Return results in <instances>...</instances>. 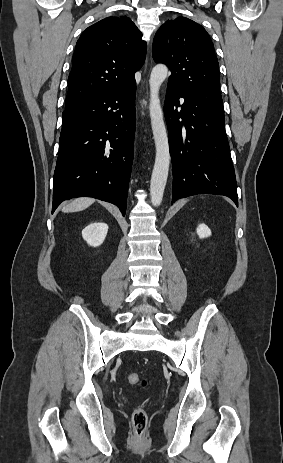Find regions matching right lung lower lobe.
<instances>
[{"label": "right lung lower lobe", "mask_w": 283, "mask_h": 463, "mask_svg": "<svg viewBox=\"0 0 283 463\" xmlns=\"http://www.w3.org/2000/svg\"><path fill=\"white\" fill-rule=\"evenodd\" d=\"M136 82L63 111L52 213L73 197L110 202L125 215L135 133Z\"/></svg>", "instance_id": "right-lung-lower-lobe-1"}]
</instances>
